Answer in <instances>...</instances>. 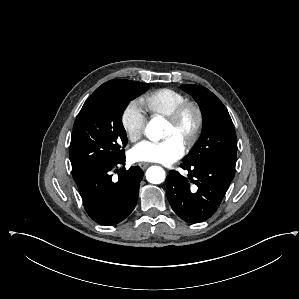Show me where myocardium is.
Wrapping results in <instances>:
<instances>
[{
    "label": "myocardium",
    "instance_id": "1",
    "mask_svg": "<svg viewBox=\"0 0 299 299\" xmlns=\"http://www.w3.org/2000/svg\"><path fill=\"white\" fill-rule=\"evenodd\" d=\"M190 112L195 115V125L190 137L183 144L187 149L193 147L200 137L203 126V112L201 107L195 101L185 100L167 117L168 122L172 126L179 127L185 116Z\"/></svg>",
    "mask_w": 299,
    "mask_h": 299
}]
</instances>
